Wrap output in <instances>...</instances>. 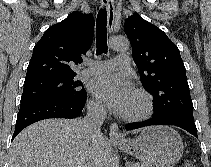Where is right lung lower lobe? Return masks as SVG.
Masks as SVG:
<instances>
[{
  "instance_id": "obj_1",
  "label": "right lung lower lobe",
  "mask_w": 211,
  "mask_h": 167,
  "mask_svg": "<svg viewBox=\"0 0 211 167\" xmlns=\"http://www.w3.org/2000/svg\"><path fill=\"white\" fill-rule=\"evenodd\" d=\"M87 93L70 100H38L23 102L17 115L12 140L28 125L48 118H76L85 105Z\"/></svg>"
}]
</instances>
